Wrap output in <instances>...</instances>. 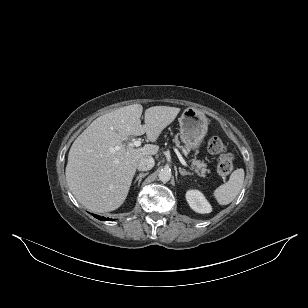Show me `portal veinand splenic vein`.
Instances as JSON below:
<instances>
[{
	"mask_svg": "<svg viewBox=\"0 0 308 308\" xmlns=\"http://www.w3.org/2000/svg\"><path fill=\"white\" fill-rule=\"evenodd\" d=\"M142 142L140 140H134L133 142L129 143V146L131 147H139L141 146ZM175 153L177 154L180 162L182 163V165L188 167L189 165L186 163V161L183 159L182 155L180 154V152L175 148L174 149Z\"/></svg>",
	"mask_w": 308,
	"mask_h": 308,
	"instance_id": "obj_1",
	"label": "portal vein and splenic vein"
}]
</instances>
